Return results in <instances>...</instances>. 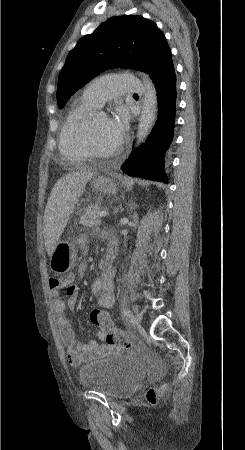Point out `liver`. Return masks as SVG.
I'll return each instance as SVG.
<instances>
[{
	"label": "liver",
	"instance_id": "6515ba94",
	"mask_svg": "<svg viewBox=\"0 0 245 450\" xmlns=\"http://www.w3.org/2000/svg\"><path fill=\"white\" fill-rule=\"evenodd\" d=\"M96 175V169L83 168L68 173L52 188L44 211L43 226L45 248L50 257L87 182Z\"/></svg>",
	"mask_w": 245,
	"mask_h": 450
}]
</instances>
